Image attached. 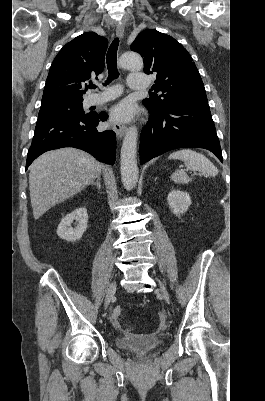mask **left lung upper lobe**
Here are the masks:
<instances>
[{
    "mask_svg": "<svg viewBox=\"0 0 265 401\" xmlns=\"http://www.w3.org/2000/svg\"><path fill=\"white\" fill-rule=\"evenodd\" d=\"M131 50L144 58L145 73H157L153 88L163 93L142 101L148 109L163 111L185 103L208 104L192 57L174 38L147 29L137 36Z\"/></svg>",
    "mask_w": 265,
    "mask_h": 401,
    "instance_id": "left-lung-upper-lobe-1",
    "label": "left lung upper lobe"
}]
</instances>
